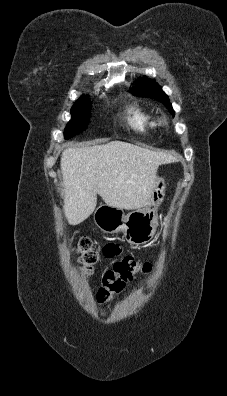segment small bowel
Listing matches in <instances>:
<instances>
[{"instance_id":"obj_1","label":"small bowel","mask_w":227,"mask_h":396,"mask_svg":"<svg viewBox=\"0 0 227 396\" xmlns=\"http://www.w3.org/2000/svg\"><path fill=\"white\" fill-rule=\"evenodd\" d=\"M120 251L121 250H120L119 245L113 244V243L107 244L103 248V254L106 257H113L115 255H118L120 253Z\"/></svg>"}]
</instances>
